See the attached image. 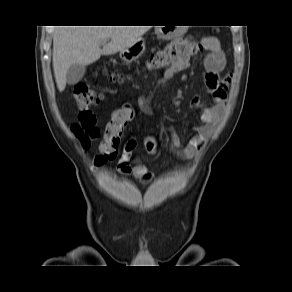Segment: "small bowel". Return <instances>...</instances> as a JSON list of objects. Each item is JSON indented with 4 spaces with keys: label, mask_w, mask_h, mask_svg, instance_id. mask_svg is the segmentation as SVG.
<instances>
[{
    "label": "small bowel",
    "mask_w": 292,
    "mask_h": 292,
    "mask_svg": "<svg viewBox=\"0 0 292 292\" xmlns=\"http://www.w3.org/2000/svg\"><path fill=\"white\" fill-rule=\"evenodd\" d=\"M203 47L209 51L204 60L206 70L205 84L207 93L214 99L211 107L201 110L202 125L195 129V135L184 145L177 135L172 137V148L179 155L192 157L196 155L208 142L219 123L227 99V86L229 77L220 78L219 73L225 65V56L219 41L215 38H205L202 42ZM188 68V62L177 63L168 69L162 75L160 83L171 80L176 74ZM191 108L199 109L201 99L195 96L190 102ZM137 142L134 139L128 140L123 148L122 155L117 163V171L125 176H133L143 183L153 180L154 174L135 156Z\"/></svg>",
    "instance_id": "c3829d8e"
}]
</instances>
